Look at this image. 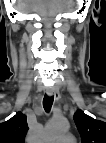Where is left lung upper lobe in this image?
Listing matches in <instances>:
<instances>
[{"instance_id": "left-lung-upper-lobe-1", "label": "left lung upper lobe", "mask_w": 106, "mask_h": 143, "mask_svg": "<svg viewBox=\"0 0 106 143\" xmlns=\"http://www.w3.org/2000/svg\"><path fill=\"white\" fill-rule=\"evenodd\" d=\"M74 121L81 135L82 143H106V123L95 120L78 110Z\"/></svg>"}]
</instances>
